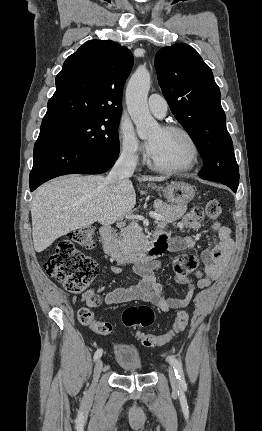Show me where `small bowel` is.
<instances>
[{
  "label": "small bowel",
  "instance_id": "obj_1",
  "mask_svg": "<svg viewBox=\"0 0 262 431\" xmlns=\"http://www.w3.org/2000/svg\"><path fill=\"white\" fill-rule=\"evenodd\" d=\"M202 212L200 209H193L181 220V223L191 231H199L201 228ZM219 242L212 249H205L200 254L201 270L196 268L195 257L191 254H182L174 260L175 281L186 286V291L179 297L166 296L161 284L156 280V272L160 268V262L155 257H149L135 266V272L141 277L140 282L129 288H116L106 293L104 302L108 305H117L133 301H144L155 305L161 311L180 310L186 308L195 292L199 289L209 287L215 283L223 274L227 267L231 248V230L217 222L212 224ZM164 224H160L157 229V236L165 247L166 240L174 233ZM172 250L186 253L193 250L195 239L193 236H173L170 243ZM121 273V268L117 265L110 267V277ZM192 275V281H190ZM103 289L90 288L83 292L80 301L85 304L83 309L90 311L100 303V293ZM91 312V311H90ZM93 314V313H92ZM99 333L96 329L91 328Z\"/></svg>",
  "mask_w": 262,
  "mask_h": 431
}]
</instances>
